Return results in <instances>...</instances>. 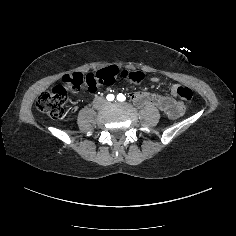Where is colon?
Listing matches in <instances>:
<instances>
[{"label":"colon","mask_w":236,"mask_h":236,"mask_svg":"<svg viewBox=\"0 0 236 236\" xmlns=\"http://www.w3.org/2000/svg\"><path fill=\"white\" fill-rule=\"evenodd\" d=\"M118 78L129 83L138 84L143 80L144 74L140 71L120 70L116 66H109L95 73L66 75L62 82L51 91L39 95L36 102L37 108L53 119H61L65 115V104L70 93L81 89L96 92L103 87L114 84ZM175 92L180 100L184 102H189L193 97L192 90L185 86L177 87Z\"/></svg>","instance_id":"colon-1"}]
</instances>
